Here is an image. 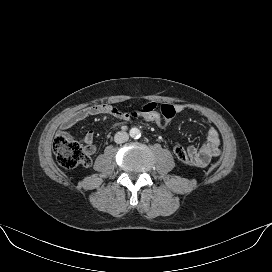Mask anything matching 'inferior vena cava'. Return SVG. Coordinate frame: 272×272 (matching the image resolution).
<instances>
[{
  "instance_id": "inferior-vena-cava-1",
  "label": "inferior vena cava",
  "mask_w": 272,
  "mask_h": 272,
  "mask_svg": "<svg viewBox=\"0 0 272 272\" xmlns=\"http://www.w3.org/2000/svg\"><path fill=\"white\" fill-rule=\"evenodd\" d=\"M129 139V135L124 132V131H120V132H117L114 136V141L117 143V144H121V143H124L126 142L127 140Z\"/></svg>"
}]
</instances>
